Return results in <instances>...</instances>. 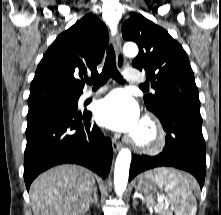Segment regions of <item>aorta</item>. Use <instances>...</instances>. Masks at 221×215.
<instances>
[{
    "label": "aorta",
    "mask_w": 221,
    "mask_h": 215,
    "mask_svg": "<svg viewBox=\"0 0 221 215\" xmlns=\"http://www.w3.org/2000/svg\"><path fill=\"white\" fill-rule=\"evenodd\" d=\"M123 53L127 57H135L138 54V47L131 42L125 43ZM130 163L131 151L124 148L117 156L114 169V187L117 195H122L127 187Z\"/></svg>",
    "instance_id": "obj_1"
}]
</instances>
